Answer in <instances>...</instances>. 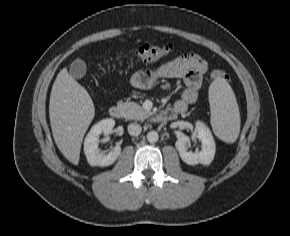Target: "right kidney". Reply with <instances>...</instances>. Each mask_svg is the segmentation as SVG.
<instances>
[{
    "label": "right kidney",
    "mask_w": 290,
    "mask_h": 236,
    "mask_svg": "<svg viewBox=\"0 0 290 236\" xmlns=\"http://www.w3.org/2000/svg\"><path fill=\"white\" fill-rule=\"evenodd\" d=\"M114 126L115 121L113 119H103L94 124L87 134L84 140V154L91 166H109L113 164L120 156V146H115L107 155L99 153L98 151L99 135L102 132L104 134H109Z\"/></svg>",
    "instance_id": "ca27d5eb"
}]
</instances>
